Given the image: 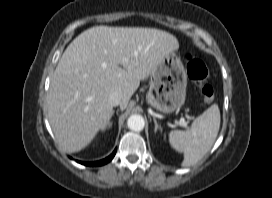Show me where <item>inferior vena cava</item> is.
I'll use <instances>...</instances> for the list:
<instances>
[{
    "label": "inferior vena cava",
    "instance_id": "inferior-vena-cava-1",
    "mask_svg": "<svg viewBox=\"0 0 272 198\" xmlns=\"http://www.w3.org/2000/svg\"><path fill=\"white\" fill-rule=\"evenodd\" d=\"M111 106L115 107L121 104V96L118 92H113L109 96Z\"/></svg>",
    "mask_w": 272,
    "mask_h": 198
}]
</instances>
